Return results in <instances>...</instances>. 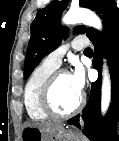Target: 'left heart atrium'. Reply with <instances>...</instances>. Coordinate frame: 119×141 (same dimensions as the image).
Masks as SVG:
<instances>
[{
    "label": "left heart atrium",
    "instance_id": "1",
    "mask_svg": "<svg viewBox=\"0 0 119 141\" xmlns=\"http://www.w3.org/2000/svg\"><path fill=\"white\" fill-rule=\"evenodd\" d=\"M70 78L76 91L81 94L85 84L83 69L80 66H76Z\"/></svg>",
    "mask_w": 119,
    "mask_h": 141
}]
</instances>
